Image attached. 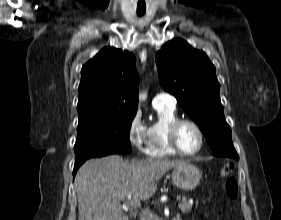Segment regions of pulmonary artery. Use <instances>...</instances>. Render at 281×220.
Listing matches in <instances>:
<instances>
[{"label": "pulmonary artery", "instance_id": "1", "mask_svg": "<svg viewBox=\"0 0 281 220\" xmlns=\"http://www.w3.org/2000/svg\"><path fill=\"white\" fill-rule=\"evenodd\" d=\"M152 104L153 106L165 105V106L175 107L176 99L174 96H172L169 93L159 92L154 96L152 100Z\"/></svg>", "mask_w": 281, "mask_h": 220}]
</instances>
